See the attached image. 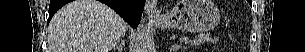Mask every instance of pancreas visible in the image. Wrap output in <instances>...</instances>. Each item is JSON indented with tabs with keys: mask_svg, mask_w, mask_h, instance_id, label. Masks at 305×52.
Segmentation results:
<instances>
[{
	"mask_svg": "<svg viewBox=\"0 0 305 52\" xmlns=\"http://www.w3.org/2000/svg\"><path fill=\"white\" fill-rule=\"evenodd\" d=\"M217 40V38H211L209 35L200 34L195 36V38L191 40L190 43L192 45H202L204 43H216Z\"/></svg>",
	"mask_w": 305,
	"mask_h": 52,
	"instance_id": "1",
	"label": "pancreas"
}]
</instances>
